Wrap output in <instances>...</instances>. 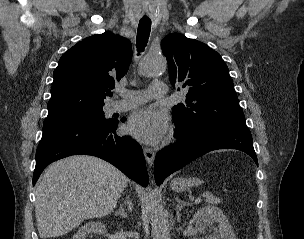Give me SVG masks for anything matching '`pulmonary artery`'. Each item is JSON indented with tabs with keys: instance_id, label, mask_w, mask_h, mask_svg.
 Listing matches in <instances>:
<instances>
[{
	"instance_id": "e3ab8cb5",
	"label": "pulmonary artery",
	"mask_w": 304,
	"mask_h": 239,
	"mask_svg": "<svg viewBox=\"0 0 304 239\" xmlns=\"http://www.w3.org/2000/svg\"><path fill=\"white\" fill-rule=\"evenodd\" d=\"M123 99L113 101L110 104V111L121 112L139 106L149 100L161 98L167 93V86L164 82H154L147 90L126 91L118 90Z\"/></svg>"
}]
</instances>
